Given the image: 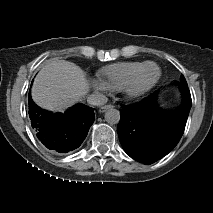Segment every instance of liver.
I'll return each mask as SVG.
<instances>
[{"mask_svg": "<svg viewBox=\"0 0 213 213\" xmlns=\"http://www.w3.org/2000/svg\"><path fill=\"white\" fill-rule=\"evenodd\" d=\"M89 91L84 72L65 60L48 62L36 75L32 99L49 111H64L80 101Z\"/></svg>", "mask_w": 213, "mask_h": 213, "instance_id": "6515ba94", "label": "liver"}]
</instances>
